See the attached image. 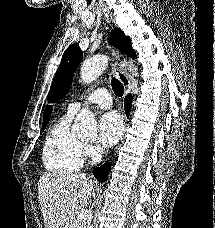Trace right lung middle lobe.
<instances>
[{
  "mask_svg": "<svg viewBox=\"0 0 215 228\" xmlns=\"http://www.w3.org/2000/svg\"><path fill=\"white\" fill-rule=\"evenodd\" d=\"M46 124H47V123L43 124V127H42L41 132L45 129Z\"/></svg>",
  "mask_w": 215,
  "mask_h": 228,
  "instance_id": "obj_1",
  "label": "right lung middle lobe"
}]
</instances>
